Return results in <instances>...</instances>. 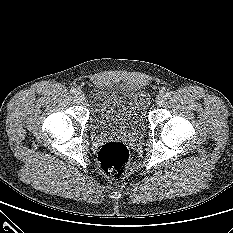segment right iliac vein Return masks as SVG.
Segmentation results:
<instances>
[{
	"label": "right iliac vein",
	"mask_w": 233,
	"mask_h": 233,
	"mask_svg": "<svg viewBox=\"0 0 233 233\" xmlns=\"http://www.w3.org/2000/svg\"><path fill=\"white\" fill-rule=\"evenodd\" d=\"M76 98L78 99L79 102H84L86 97H85V94L81 91L77 92L76 93Z\"/></svg>",
	"instance_id": "obj_1"
}]
</instances>
